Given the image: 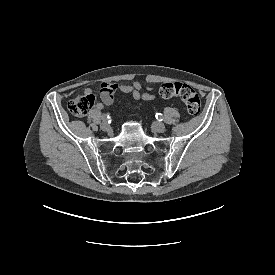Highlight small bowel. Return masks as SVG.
<instances>
[{
	"mask_svg": "<svg viewBox=\"0 0 275 275\" xmlns=\"http://www.w3.org/2000/svg\"><path fill=\"white\" fill-rule=\"evenodd\" d=\"M131 94L135 101L144 100L150 101L154 99V95L143 91V85L138 81H123V82H104L100 85L98 90L93 91L91 88L85 89V94L92 93L99 94L102 102L96 104V109L102 110L105 106L112 102L113 94L116 90ZM147 91H152V86H146Z\"/></svg>",
	"mask_w": 275,
	"mask_h": 275,
	"instance_id": "obj_1",
	"label": "small bowel"
}]
</instances>
